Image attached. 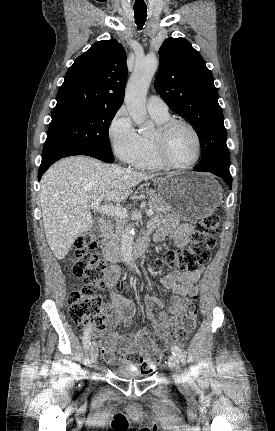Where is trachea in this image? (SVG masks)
Returning <instances> with one entry per match:
<instances>
[{"mask_svg":"<svg viewBox=\"0 0 275 431\" xmlns=\"http://www.w3.org/2000/svg\"><path fill=\"white\" fill-rule=\"evenodd\" d=\"M135 23L139 29H142L146 22L147 8H134Z\"/></svg>","mask_w":275,"mask_h":431,"instance_id":"obj_1","label":"trachea"}]
</instances>
